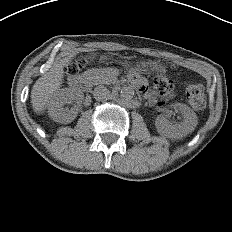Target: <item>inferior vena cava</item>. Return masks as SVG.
I'll return each instance as SVG.
<instances>
[{
    "mask_svg": "<svg viewBox=\"0 0 232 232\" xmlns=\"http://www.w3.org/2000/svg\"><path fill=\"white\" fill-rule=\"evenodd\" d=\"M93 96L97 100L108 99L110 97V92L104 86H97L93 91Z\"/></svg>",
    "mask_w": 232,
    "mask_h": 232,
    "instance_id": "inferior-vena-cava-1",
    "label": "inferior vena cava"
}]
</instances>
